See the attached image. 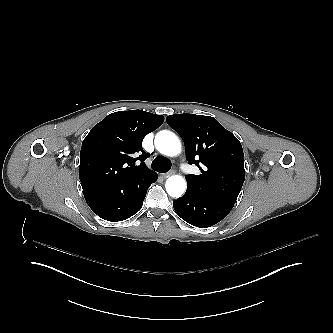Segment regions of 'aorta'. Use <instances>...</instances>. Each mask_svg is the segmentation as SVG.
<instances>
[{
  "instance_id": "1",
  "label": "aorta",
  "mask_w": 333,
  "mask_h": 333,
  "mask_svg": "<svg viewBox=\"0 0 333 333\" xmlns=\"http://www.w3.org/2000/svg\"><path fill=\"white\" fill-rule=\"evenodd\" d=\"M156 149L167 156L174 157L181 152L178 137L170 131H160L155 136ZM166 191L171 197H180L186 190V181L182 176L174 175L166 181Z\"/></svg>"
}]
</instances>
